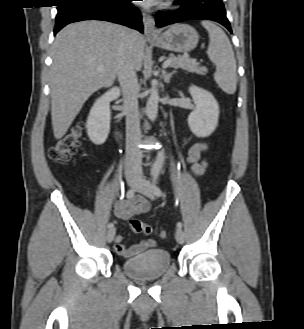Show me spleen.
Segmentation results:
<instances>
[{
	"label": "spleen",
	"mask_w": 304,
	"mask_h": 329,
	"mask_svg": "<svg viewBox=\"0 0 304 329\" xmlns=\"http://www.w3.org/2000/svg\"><path fill=\"white\" fill-rule=\"evenodd\" d=\"M209 34L207 54L216 66L214 80L227 94H234L237 88L236 60L232 45L225 32L210 21H202Z\"/></svg>",
	"instance_id": "3e777b00"
}]
</instances>
